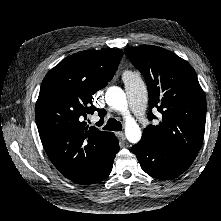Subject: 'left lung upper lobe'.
I'll return each mask as SVG.
<instances>
[{
	"label": "left lung upper lobe",
	"instance_id": "1",
	"mask_svg": "<svg viewBox=\"0 0 221 221\" xmlns=\"http://www.w3.org/2000/svg\"><path fill=\"white\" fill-rule=\"evenodd\" d=\"M126 56L143 74L149 95V120L161 113L156 126L144 129L139 144H161L196 158L204 138L206 98L192 66L157 46L126 48Z\"/></svg>",
	"mask_w": 221,
	"mask_h": 221
}]
</instances>
